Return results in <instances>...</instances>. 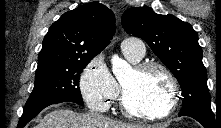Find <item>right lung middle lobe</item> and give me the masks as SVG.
<instances>
[{"label":"right lung middle lobe","mask_w":221,"mask_h":128,"mask_svg":"<svg viewBox=\"0 0 221 128\" xmlns=\"http://www.w3.org/2000/svg\"><path fill=\"white\" fill-rule=\"evenodd\" d=\"M91 60H77L65 66L36 70L34 88L24 109L55 100L70 101L82 105L79 77Z\"/></svg>","instance_id":"obj_1"}]
</instances>
